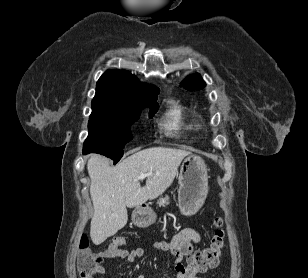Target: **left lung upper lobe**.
Segmentation results:
<instances>
[{"instance_id":"5c2ea615","label":"left lung upper lobe","mask_w":308,"mask_h":278,"mask_svg":"<svg viewBox=\"0 0 308 278\" xmlns=\"http://www.w3.org/2000/svg\"><path fill=\"white\" fill-rule=\"evenodd\" d=\"M182 86L187 90H199V89L204 88L206 84L199 74H194V75L188 76L182 82Z\"/></svg>"}]
</instances>
